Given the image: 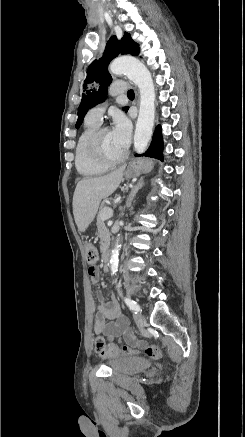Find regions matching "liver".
Here are the masks:
<instances>
[{
	"mask_svg": "<svg viewBox=\"0 0 245 437\" xmlns=\"http://www.w3.org/2000/svg\"><path fill=\"white\" fill-rule=\"evenodd\" d=\"M125 166L100 177L78 182L73 195V215L78 231L83 233L94 220L102 199L110 196L123 178Z\"/></svg>",
	"mask_w": 245,
	"mask_h": 437,
	"instance_id": "obj_1",
	"label": "liver"
}]
</instances>
